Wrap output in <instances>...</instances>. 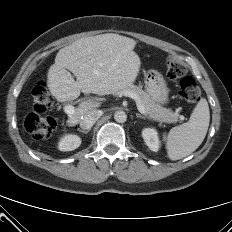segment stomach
<instances>
[{
    "instance_id": "obj_1",
    "label": "stomach",
    "mask_w": 232,
    "mask_h": 232,
    "mask_svg": "<svg viewBox=\"0 0 232 232\" xmlns=\"http://www.w3.org/2000/svg\"><path fill=\"white\" fill-rule=\"evenodd\" d=\"M146 89L149 96L160 104H166L168 102V88L164 78L156 74L154 77L147 78Z\"/></svg>"
}]
</instances>
